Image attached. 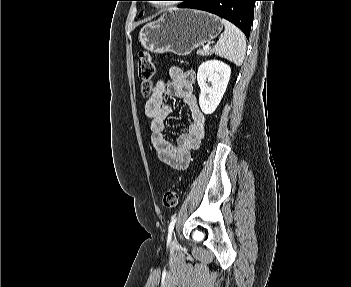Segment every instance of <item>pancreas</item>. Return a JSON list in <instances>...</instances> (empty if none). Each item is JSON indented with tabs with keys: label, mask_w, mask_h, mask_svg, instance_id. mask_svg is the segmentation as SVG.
Segmentation results:
<instances>
[{
	"label": "pancreas",
	"mask_w": 351,
	"mask_h": 287,
	"mask_svg": "<svg viewBox=\"0 0 351 287\" xmlns=\"http://www.w3.org/2000/svg\"><path fill=\"white\" fill-rule=\"evenodd\" d=\"M197 54L200 56H208L211 54V51L209 49H203V50L199 49L197 51Z\"/></svg>",
	"instance_id": "1"
}]
</instances>
